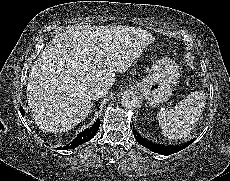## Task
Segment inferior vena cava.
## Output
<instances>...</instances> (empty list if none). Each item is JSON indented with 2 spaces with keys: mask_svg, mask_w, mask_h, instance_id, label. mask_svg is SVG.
I'll list each match as a JSON object with an SVG mask.
<instances>
[{
  "mask_svg": "<svg viewBox=\"0 0 230 181\" xmlns=\"http://www.w3.org/2000/svg\"><path fill=\"white\" fill-rule=\"evenodd\" d=\"M107 93H108V88L97 85L90 89L89 96L91 97L92 100H97L105 96Z\"/></svg>",
  "mask_w": 230,
  "mask_h": 181,
  "instance_id": "obj_1",
  "label": "inferior vena cava"
}]
</instances>
